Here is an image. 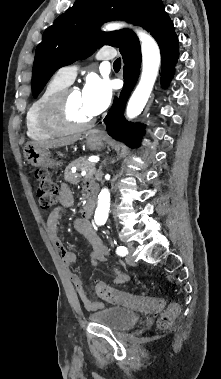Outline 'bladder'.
I'll list each match as a JSON object with an SVG mask.
<instances>
[{
	"mask_svg": "<svg viewBox=\"0 0 221 379\" xmlns=\"http://www.w3.org/2000/svg\"><path fill=\"white\" fill-rule=\"evenodd\" d=\"M88 319L118 332L127 331L138 322V317L134 312L118 306L101 308L89 314Z\"/></svg>",
	"mask_w": 221,
	"mask_h": 379,
	"instance_id": "obj_1",
	"label": "bladder"
}]
</instances>
